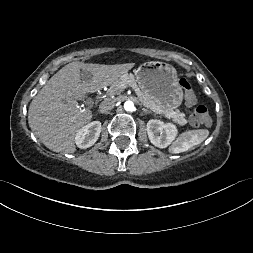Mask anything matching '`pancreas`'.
<instances>
[{
	"label": "pancreas",
	"mask_w": 253,
	"mask_h": 253,
	"mask_svg": "<svg viewBox=\"0 0 253 253\" xmlns=\"http://www.w3.org/2000/svg\"><path fill=\"white\" fill-rule=\"evenodd\" d=\"M126 86H130L134 89L136 95L138 96L140 102L150 110L155 113L162 115H171L174 120L178 122L179 125L183 126L187 124V120L185 119V114L181 113L177 110H168L163 107L156 99H154L151 95L144 92L137 84L133 74H124L121 76L116 82H114L109 90L108 94L118 95L120 94Z\"/></svg>",
	"instance_id": "obj_1"
}]
</instances>
